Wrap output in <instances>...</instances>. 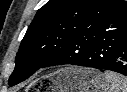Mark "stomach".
Instances as JSON below:
<instances>
[{"mask_svg":"<svg viewBox=\"0 0 127 92\" xmlns=\"http://www.w3.org/2000/svg\"><path fill=\"white\" fill-rule=\"evenodd\" d=\"M50 92H106L109 89L103 73L96 69L69 66L48 76Z\"/></svg>","mask_w":127,"mask_h":92,"instance_id":"stomach-1","label":"stomach"}]
</instances>
